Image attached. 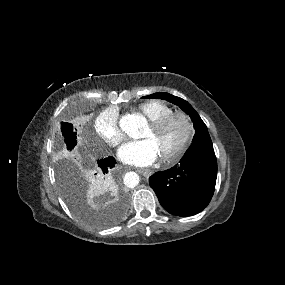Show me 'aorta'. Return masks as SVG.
I'll use <instances>...</instances> for the list:
<instances>
[{"instance_id": "obj_1", "label": "aorta", "mask_w": 285, "mask_h": 285, "mask_svg": "<svg viewBox=\"0 0 285 285\" xmlns=\"http://www.w3.org/2000/svg\"><path fill=\"white\" fill-rule=\"evenodd\" d=\"M146 125L145 118L140 114H128L121 120V128L123 131L132 138H139L142 129ZM140 178L135 172H128L125 175V185L133 188L139 184Z\"/></svg>"}]
</instances>
